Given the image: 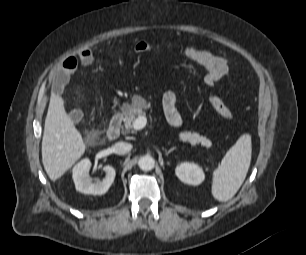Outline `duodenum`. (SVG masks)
Returning <instances> with one entry per match:
<instances>
[{
  "instance_id": "410a0bca",
  "label": "duodenum",
  "mask_w": 306,
  "mask_h": 255,
  "mask_svg": "<svg viewBox=\"0 0 306 255\" xmlns=\"http://www.w3.org/2000/svg\"><path fill=\"white\" fill-rule=\"evenodd\" d=\"M121 115L116 113L112 116L109 127L107 130V136L111 140H116L120 136V129H121Z\"/></svg>"
}]
</instances>
